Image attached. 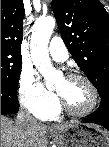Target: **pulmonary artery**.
<instances>
[{
  "label": "pulmonary artery",
  "instance_id": "1",
  "mask_svg": "<svg viewBox=\"0 0 109 147\" xmlns=\"http://www.w3.org/2000/svg\"><path fill=\"white\" fill-rule=\"evenodd\" d=\"M48 52L50 57L57 62H65L69 58L68 50L59 36L51 39ZM39 119L45 120L44 117H39Z\"/></svg>",
  "mask_w": 109,
  "mask_h": 147
}]
</instances>
